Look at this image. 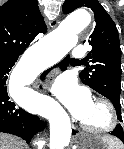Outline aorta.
I'll return each instance as SVG.
<instances>
[{"label":"aorta","instance_id":"1","mask_svg":"<svg viewBox=\"0 0 124 149\" xmlns=\"http://www.w3.org/2000/svg\"><path fill=\"white\" fill-rule=\"evenodd\" d=\"M91 22L90 14L80 9L67 16L59 26L46 35L24 58L13 72V80H19L24 84V77L31 71V64L47 50L58 52L60 55L67 54L77 43V34L84 30ZM45 117L50 123L49 149H64L71 138V124L68 114L53 99L48 98L46 103Z\"/></svg>","mask_w":124,"mask_h":149}]
</instances>
